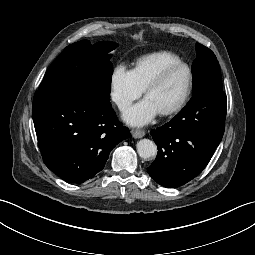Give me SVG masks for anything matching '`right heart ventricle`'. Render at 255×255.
Masks as SVG:
<instances>
[{"label":"right heart ventricle","mask_w":255,"mask_h":255,"mask_svg":"<svg viewBox=\"0 0 255 255\" xmlns=\"http://www.w3.org/2000/svg\"><path fill=\"white\" fill-rule=\"evenodd\" d=\"M179 57L170 51H157L140 57L132 71L139 84L145 86L164 68L166 65L179 61Z\"/></svg>","instance_id":"1"}]
</instances>
